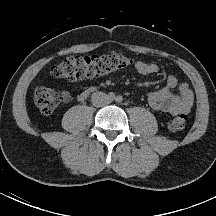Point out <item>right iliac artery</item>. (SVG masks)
<instances>
[{
	"label": "right iliac artery",
	"mask_w": 216,
	"mask_h": 216,
	"mask_svg": "<svg viewBox=\"0 0 216 216\" xmlns=\"http://www.w3.org/2000/svg\"><path fill=\"white\" fill-rule=\"evenodd\" d=\"M108 98L109 99H115V94L113 93V92H110L109 94H108Z\"/></svg>",
	"instance_id": "right-iliac-artery-1"
}]
</instances>
